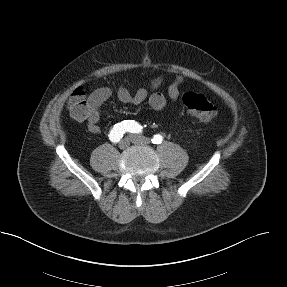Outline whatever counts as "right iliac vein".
Wrapping results in <instances>:
<instances>
[{
    "instance_id": "63e3f726",
    "label": "right iliac vein",
    "mask_w": 287,
    "mask_h": 287,
    "mask_svg": "<svg viewBox=\"0 0 287 287\" xmlns=\"http://www.w3.org/2000/svg\"><path fill=\"white\" fill-rule=\"evenodd\" d=\"M129 145H130V140H129V138H124V139L121 140V142L119 143V147H120L121 149H126V148L129 147Z\"/></svg>"
}]
</instances>
